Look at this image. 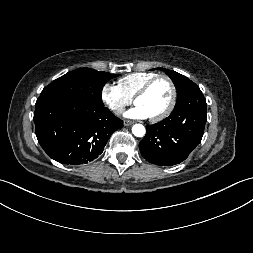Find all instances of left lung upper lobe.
<instances>
[{
	"label": "left lung upper lobe",
	"mask_w": 253,
	"mask_h": 253,
	"mask_svg": "<svg viewBox=\"0 0 253 253\" xmlns=\"http://www.w3.org/2000/svg\"><path fill=\"white\" fill-rule=\"evenodd\" d=\"M158 69V68H157ZM164 70L167 75L171 78L173 81L176 90H177V102H179L182 97L194 86L196 85L194 82H192L190 79L185 77L184 75L177 73L173 70L168 69H162ZM176 102V103H177Z\"/></svg>",
	"instance_id": "5c2ea615"
}]
</instances>
